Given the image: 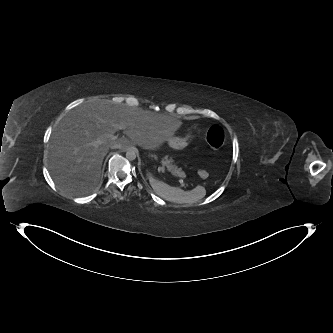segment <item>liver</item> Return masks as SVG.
I'll return each mask as SVG.
<instances>
[{
  "mask_svg": "<svg viewBox=\"0 0 333 333\" xmlns=\"http://www.w3.org/2000/svg\"><path fill=\"white\" fill-rule=\"evenodd\" d=\"M125 136L114 135L118 126ZM181 126L168 115L143 110L130 103L108 99H90L74 109L55 128L49 144L48 164L55 183L68 193L83 195L101 183V167L111 145L125 148L130 142L147 150H156ZM102 140L101 144L94 143Z\"/></svg>",
  "mask_w": 333,
  "mask_h": 333,
  "instance_id": "obj_1",
  "label": "liver"
}]
</instances>
